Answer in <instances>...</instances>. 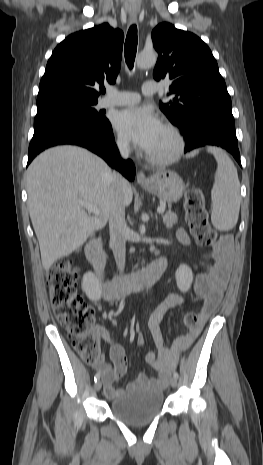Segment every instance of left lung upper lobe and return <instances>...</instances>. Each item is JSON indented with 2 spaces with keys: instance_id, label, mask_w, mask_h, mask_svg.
I'll return each instance as SVG.
<instances>
[{
  "instance_id": "5c2ea615",
  "label": "left lung upper lobe",
  "mask_w": 263,
  "mask_h": 465,
  "mask_svg": "<svg viewBox=\"0 0 263 465\" xmlns=\"http://www.w3.org/2000/svg\"><path fill=\"white\" fill-rule=\"evenodd\" d=\"M158 60L153 77L172 80L169 103H159L172 124L191 128L207 110L232 115L231 98L209 47L195 34L164 22L152 31Z\"/></svg>"
}]
</instances>
